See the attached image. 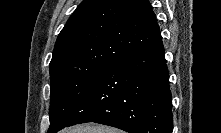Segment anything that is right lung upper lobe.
Instances as JSON below:
<instances>
[{"mask_svg":"<svg viewBox=\"0 0 221 133\" xmlns=\"http://www.w3.org/2000/svg\"><path fill=\"white\" fill-rule=\"evenodd\" d=\"M162 43L148 0H83L58 35L50 74L112 65Z\"/></svg>","mask_w":221,"mask_h":133,"instance_id":"right-lung-upper-lobe-1","label":"right lung upper lobe"}]
</instances>
